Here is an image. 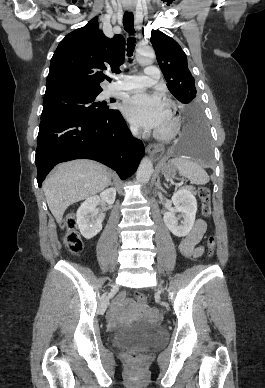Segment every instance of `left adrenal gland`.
Returning <instances> with one entry per match:
<instances>
[{"instance_id":"1","label":"left adrenal gland","mask_w":265,"mask_h":388,"mask_svg":"<svg viewBox=\"0 0 265 388\" xmlns=\"http://www.w3.org/2000/svg\"><path fill=\"white\" fill-rule=\"evenodd\" d=\"M155 186H157V188H159V190H163L162 186H160V178H157V182H156Z\"/></svg>"}]
</instances>
